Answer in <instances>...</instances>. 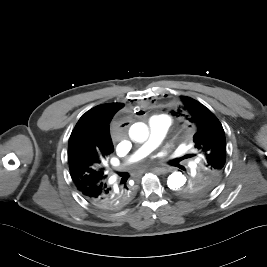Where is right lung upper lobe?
I'll use <instances>...</instances> for the list:
<instances>
[{"instance_id":"cb5924a9","label":"right lung upper lobe","mask_w":267,"mask_h":267,"mask_svg":"<svg viewBox=\"0 0 267 267\" xmlns=\"http://www.w3.org/2000/svg\"><path fill=\"white\" fill-rule=\"evenodd\" d=\"M122 107V103L99 105L79 119L69 139V165L86 155H92L98 160L106 159L114 151L108 125L112 116ZM105 178L96 179L90 184ZM76 186L79 189L84 185Z\"/></svg>"}]
</instances>
